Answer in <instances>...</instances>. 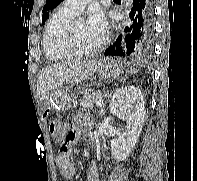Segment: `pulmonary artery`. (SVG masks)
<instances>
[{
    "instance_id": "1",
    "label": "pulmonary artery",
    "mask_w": 197,
    "mask_h": 181,
    "mask_svg": "<svg viewBox=\"0 0 197 181\" xmlns=\"http://www.w3.org/2000/svg\"><path fill=\"white\" fill-rule=\"evenodd\" d=\"M89 1L90 0H65L63 6L66 9L78 14L84 9Z\"/></svg>"
}]
</instances>
